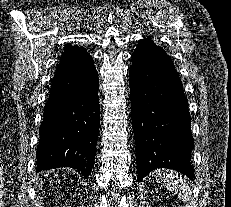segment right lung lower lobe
Returning a JSON list of instances; mask_svg holds the SVG:
<instances>
[{"mask_svg": "<svg viewBox=\"0 0 231 207\" xmlns=\"http://www.w3.org/2000/svg\"><path fill=\"white\" fill-rule=\"evenodd\" d=\"M98 73L89 56L75 68L57 66L44 107L37 171L73 167L87 178L98 139Z\"/></svg>", "mask_w": 231, "mask_h": 207, "instance_id": "1", "label": "right lung lower lobe"}]
</instances>
